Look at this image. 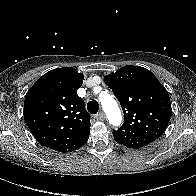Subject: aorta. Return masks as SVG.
Instances as JSON below:
<instances>
[{
    "label": "aorta",
    "mask_w": 196,
    "mask_h": 196,
    "mask_svg": "<svg viewBox=\"0 0 196 196\" xmlns=\"http://www.w3.org/2000/svg\"><path fill=\"white\" fill-rule=\"evenodd\" d=\"M100 102L110 123L119 125L122 120L121 112L113 96L108 93L101 95Z\"/></svg>",
    "instance_id": "762f6f07"
}]
</instances>
